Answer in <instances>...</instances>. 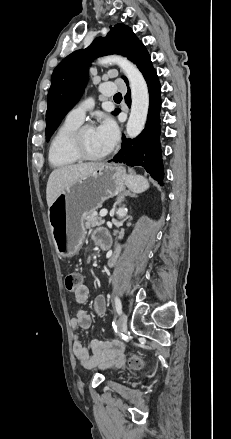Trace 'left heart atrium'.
I'll use <instances>...</instances> for the list:
<instances>
[{
    "label": "left heart atrium",
    "mask_w": 231,
    "mask_h": 439,
    "mask_svg": "<svg viewBox=\"0 0 231 439\" xmlns=\"http://www.w3.org/2000/svg\"><path fill=\"white\" fill-rule=\"evenodd\" d=\"M95 133L107 152L112 150L118 141L117 125L110 118H104L96 127Z\"/></svg>",
    "instance_id": "1"
}]
</instances>
